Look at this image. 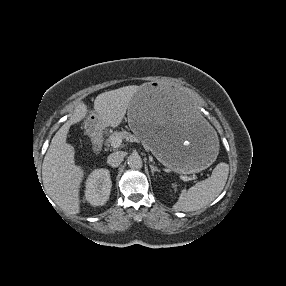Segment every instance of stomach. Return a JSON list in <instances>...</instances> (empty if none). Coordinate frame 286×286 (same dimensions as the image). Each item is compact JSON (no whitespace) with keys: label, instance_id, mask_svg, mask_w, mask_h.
Listing matches in <instances>:
<instances>
[{"label":"stomach","instance_id":"obj_1","mask_svg":"<svg viewBox=\"0 0 286 286\" xmlns=\"http://www.w3.org/2000/svg\"><path fill=\"white\" fill-rule=\"evenodd\" d=\"M128 125L153 155L176 173H198L218 154L219 140L203 118L199 102L178 84L147 82L139 86L128 107ZM91 114L87 132L96 130Z\"/></svg>","mask_w":286,"mask_h":286}]
</instances>
